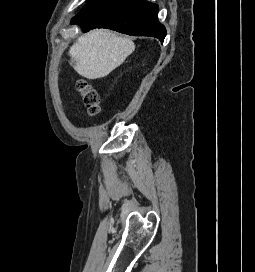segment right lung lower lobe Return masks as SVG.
I'll return each mask as SVG.
<instances>
[{"instance_id":"right-lung-lower-lobe-1","label":"right lung lower lobe","mask_w":255,"mask_h":272,"mask_svg":"<svg viewBox=\"0 0 255 272\" xmlns=\"http://www.w3.org/2000/svg\"><path fill=\"white\" fill-rule=\"evenodd\" d=\"M158 5L144 0H91L71 20L83 32L107 28L132 36H151L163 42L165 27L158 22Z\"/></svg>"}]
</instances>
